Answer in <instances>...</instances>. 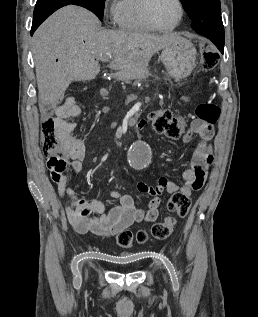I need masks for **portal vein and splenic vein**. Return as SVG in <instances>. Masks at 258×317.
<instances>
[{"label":"portal vein and splenic vein","mask_w":258,"mask_h":317,"mask_svg":"<svg viewBox=\"0 0 258 317\" xmlns=\"http://www.w3.org/2000/svg\"><path fill=\"white\" fill-rule=\"evenodd\" d=\"M105 58H111V56H105Z\"/></svg>","instance_id":"obj_1"}]
</instances>
